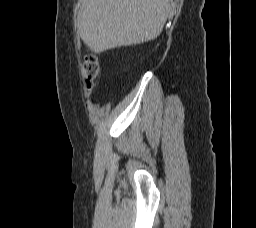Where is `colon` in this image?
<instances>
[{"label": "colon", "instance_id": "obj_1", "mask_svg": "<svg viewBox=\"0 0 256 228\" xmlns=\"http://www.w3.org/2000/svg\"><path fill=\"white\" fill-rule=\"evenodd\" d=\"M84 66L86 74L88 76L87 86L92 87L94 84V79L98 76L100 72L99 63L93 55L87 54L84 57Z\"/></svg>", "mask_w": 256, "mask_h": 228}]
</instances>
